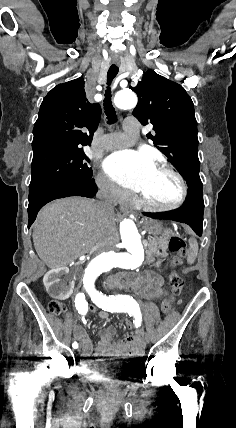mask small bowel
I'll return each mask as SVG.
<instances>
[{
	"instance_id": "obj_1",
	"label": "small bowel",
	"mask_w": 236,
	"mask_h": 428,
	"mask_svg": "<svg viewBox=\"0 0 236 428\" xmlns=\"http://www.w3.org/2000/svg\"><path fill=\"white\" fill-rule=\"evenodd\" d=\"M162 285L161 276L154 272H147L140 277L133 288L136 292L142 293L150 299H159L164 294ZM108 315L109 313L106 311L100 312L102 319H107ZM74 334L83 346L81 360L88 366H93L98 359L108 357L137 359L141 357L145 344L141 332L128 336L119 342H113L112 338L115 334V328L107 326L100 330L101 340L93 355V343L86 330L82 326L77 325L74 329Z\"/></svg>"
}]
</instances>
